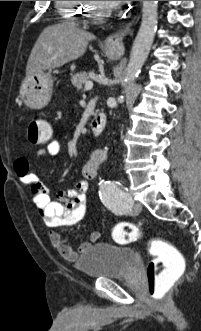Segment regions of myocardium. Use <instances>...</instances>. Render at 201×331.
Returning <instances> with one entry per match:
<instances>
[{"label":"myocardium","instance_id":"myocardium-1","mask_svg":"<svg viewBox=\"0 0 201 331\" xmlns=\"http://www.w3.org/2000/svg\"><path fill=\"white\" fill-rule=\"evenodd\" d=\"M88 7L85 16L92 22H101L111 14V9L100 1H87Z\"/></svg>","mask_w":201,"mask_h":331}]
</instances>
